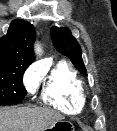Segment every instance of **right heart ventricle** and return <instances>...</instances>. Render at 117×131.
I'll return each mask as SVG.
<instances>
[{
	"label": "right heart ventricle",
	"mask_w": 117,
	"mask_h": 131,
	"mask_svg": "<svg viewBox=\"0 0 117 131\" xmlns=\"http://www.w3.org/2000/svg\"><path fill=\"white\" fill-rule=\"evenodd\" d=\"M41 98L54 108L76 114L84 108L87 92L77 72L67 63L59 62L44 77Z\"/></svg>",
	"instance_id": "1"
}]
</instances>
